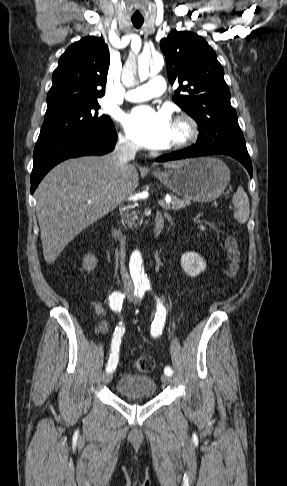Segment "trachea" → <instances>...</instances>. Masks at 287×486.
<instances>
[{
	"instance_id": "3493384b",
	"label": "trachea",
	"mask_w": 287,
	"mask_h": 486,
	"mask_svg": "<svg viewBox=\"0 0 287 486\" xmlns=\"http://www.w3.org/2000/svg\"><path fill=\"white\" fill-rule=\"evenodd\" d=\"M143 22H144V20H132V23L136 28H140L142 26Z\"/></svg>"
}]
</instances>
